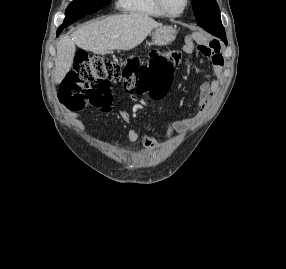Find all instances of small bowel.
<instances>
[{
	"instance_id": "c3829d8e",
	"label": "small bowel",
	"mask_w": 286,
	"mask_h": 269,
	"mask_svg": "<svg viewBox=\"0 0 286 269\" xmlns=\"http://www.w3.org/2000/svg\"><path fill=\"white\" fill-rule=\"evenodd\" d=\"M193 49V43L191 41H187L184 47V51L186 53H191ZM197 50L203 56L210 59L214 75L210 80L203 82L199 87V97L197 104L198 114L195 117H184L170 120L168 123V130L170 131L187 132L190 128L195 126L198 121L206 114L210 105L211 98L213 94L218 90L223 66V59L219 45L214 42H210L207 43V46H204L201 49L197 48ZM180 61L181 57L178 53L177 58L174 60V65H178ZM129 98L133 99L134 95L130 94ZM122 117L125 121L131 122L132 113L130 111H124L122 113ZM141 137L145 140L147 151L149 153H153L157 148V143L144 129L141 127H134L129 129L127 132V138L132 143L136 142Z\"/></svg>"
}]
</instances>
